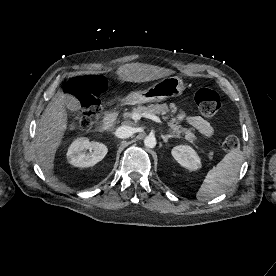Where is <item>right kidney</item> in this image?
I'll use <instances>...</instances> for the list:
<instances>
[{
	"label": "right kidney",
	"instance_id": "ca27d5eb",
	"mask_svg": "<svg viewBox=\"0 0 276 276\" xmlns=\"http://www.w3.org/2000/svg\"><path fill=\"white\" fill-rule=\"evenodd\" d=\"M90 150V153H85ZM108 148L100 142H90L87 138H79L68 148L67 160L76 167H91L100 162L107 154Z\"/></svg>",
	"mask_w": 276,
	"mask_h": 276
}]
</instances>
